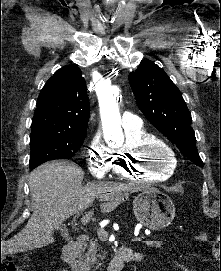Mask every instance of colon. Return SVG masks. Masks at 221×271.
Instances as JSON below:
<instances>
[{
    "label": "colon",
    "instance_id": "obj_1",
    "mask_svg": "<svg viewBox=\"0 0 221 271\" xmlns=\"http://www.w3.org/2000/svg\"><path fill=\"white\" fill-rule=\"evenodd\" d=\"M0 271H21V267L12 260H4L0 262Z\"/></svg>",
    "mask_w": 221,
    "mask_h": 271
}]
</instances>
